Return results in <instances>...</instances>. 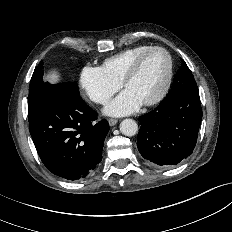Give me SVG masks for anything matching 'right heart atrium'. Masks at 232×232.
<instances>
[{
  "mask_svg": "<svg viewBox=\"0 0 232 232\" xmlns=\"http://www.w3.org/2000/svg\"><path fill=\"white\" fill-rule=\"evenodd\" d=\"M79 82L89 99L98 104H105L120 88L101 67L85 66Z\"/></svg>",
  "mask_w": 232,
  "mask_h": 232,
  "instance_id": "1",
  "label": "right heart atrium"
}]
</instances>
